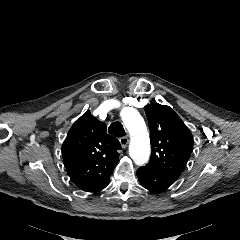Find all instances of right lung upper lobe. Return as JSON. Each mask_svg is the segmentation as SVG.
I'll return each mask as SVG.
<instances>
[{"label": "right lung upper lobe", "mask_w": 240, "mask_h": 240, "mask_svg": "<svg viewBox=\"0 0 240 240\" xmlns=\"http://www.w3.org/2000/svg\"><path fill=\"white\" fill-rule=\"evenodd\" d=\"M120 148L119 141L107 133L106 125L85 112L72 125L62 145L69 177L83 191L102 190L119 161Z\"/></svg>", "instance_id": "cb5924a9"}]
</instances>
